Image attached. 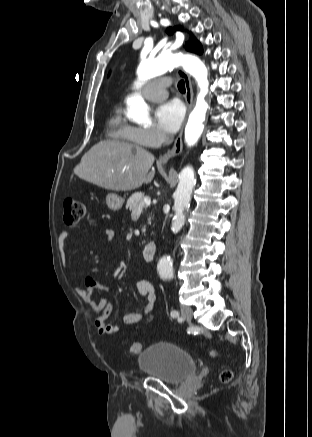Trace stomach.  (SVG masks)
Masks as SVG:
<instances>
[{
	"label": "stomach",
	"instance_id": "stomach-1",
	"mask_svg": "<svg viewBox=\"0 0 312 437\" xmlns=\"http://www.w3.org/2000/svg\"><path fill=\"white\" fill-rule=\"evenodd\" d=\"M124 200L122 197L115 193H109L106 196V204L112 211H118L122 208Z\"/></svg>",
	"mask_w": 312,
	"mask_h": 437
}]
</instances>
